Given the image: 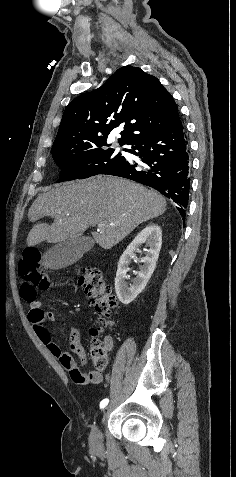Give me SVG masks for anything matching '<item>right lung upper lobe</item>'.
<instances>
[{"mask_svg":"<svg viewBox=\"0 0 236 477\" xmlns=\"http://www.w3.org/2000/svg\"><path fill=\"white\" fill-rule=\"evenodd\" d=\"M178 115L171 94L156 77L138 67L125 66L100 88L68 104L52 155L101 148L118 126L124 127L118 143L130 144L169 127Z\"/></svg>","mask_w":236,"mask_h":477,"instance_id":"right-lung-upper-lobe-1","label":"right lung upper lobe"}]
</instances>
